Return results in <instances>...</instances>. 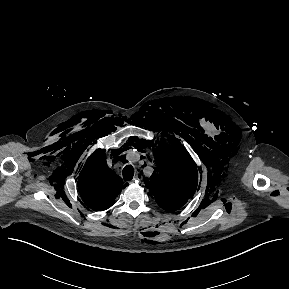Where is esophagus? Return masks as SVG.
<instances>
[{"label": "esophagus", "instance_id": "obj_1", "mask_svg": "<svg viewBox=\"0 0 289 289\" xmlns=\"http://www.w3.org/2000/svg\"><path fill=\"white\" fill-rule=\"evenodd\" d=\"M139 176H138V174L133 178V182L135 181V182H139Z\"/></svg>", "mask_w": 289, "mask_h": 289}]
</instances>
